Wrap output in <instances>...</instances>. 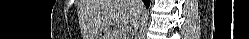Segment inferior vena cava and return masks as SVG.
<instances>
[{
	"instance_id": "1",
	"label": "inferior vena cava",
	"mask_w": 249,
	"mask_h": 39,
	"mask_svg": "<svg viewBox=\"0 0 249 39\" xmlns=\"http://www.w3.org/2000/svg\"><path fill=\"white\" fill-rule=\"evenodd\" d=\"M134 2H140L141 0H133ZM140 13L136 16V21L132 24L135 25L137 23V20L139 19Z\"/></svg>"
}]
</instances>
